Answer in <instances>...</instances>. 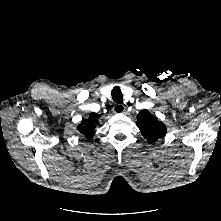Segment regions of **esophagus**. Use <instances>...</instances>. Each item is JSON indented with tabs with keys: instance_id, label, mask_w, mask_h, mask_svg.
<instances>
[{
	"instance_id": "34e87169",
	"label": "esophagus",
	"mask_w": 221,
	"mask_h": 221,
	"mask_svg": "<svg viewBox=\"0 0 221 221\" xmlns=\"http://www.w3.org/2000/svg\"><path fill=\"white\" fill-rule=\"evenodd\" d=\"M126 110L125 106L123 104H115L113 107V112L115 114H122Z\"/></svg>"
}]
</instances>
